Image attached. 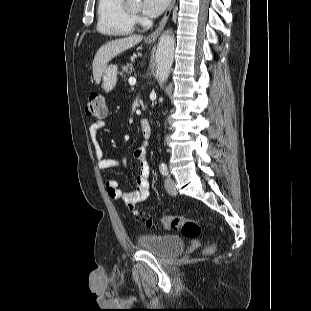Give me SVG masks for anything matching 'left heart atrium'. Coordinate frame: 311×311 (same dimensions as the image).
<instances>
[{"label":"left heart atrium","instance_id":"left-heart-atrium-1","mask_svg":"<svg viewBox=\"0 0 311 311\" xmlns=\"http://www.w3.org/2000/svg\"><path fill=\"white\" fill-rule=\"evenodd\" d=\"M170 0H143L142 11L146 16L156 17L168 6Z\"/></svg>","mask_w":311,"mask_h":311}]
</instances>
